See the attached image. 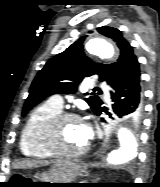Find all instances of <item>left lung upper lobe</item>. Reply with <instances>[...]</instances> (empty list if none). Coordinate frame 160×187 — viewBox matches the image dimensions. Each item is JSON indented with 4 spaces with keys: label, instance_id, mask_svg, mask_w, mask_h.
I'll list each match as a JSON object with an SVG mask.
<instances>
[{
    "label": "left lung upper lobe",
    "instance_id": "5c2ea615",
    "mask_svg": "<svg viewBox=\"0 0 160 187\" xmlns=\"http://www.w3.org/2000/svg\"><path fill=\"white\" fill-rule=\"evenodd\" d=\"M98 32L112 39L120 49V57L113 64L95 63L85 56L83 52L82 42L84 38L73 43L64 52L50 59L44 68L40 70L35 77L29 91V96L26 99L22 116L41 102L46 97L53 94H72L77 91L78 83L84 77L98 75L99 81H105L108 85H112L126 71L130 61L135 57L133 49L122 33L112 27H100ZM101 94V90H97ZM88 95V93H86ZM85 101L90 105L95 114L101 108L102 101L100 98L92 94ZM128 125L137 130L139 123L130 119H126Z\"/></svg>",
    "mask_w": 160,
    "mask_h": 187
}]
</instances>
